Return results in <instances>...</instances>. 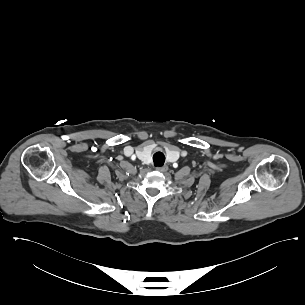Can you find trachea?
<instances>
[{
  "label": "trachea",
  "instance_id": "3493384b",
  "mask_svg": "<svg viewBox=\"0 0 305 305\" xmlns=\"http://www.w3.org/2000/svg\"><path fill=\"white\" fill-rule=\"evenodd\" d=\"M165 159L166 158L162 152L158 151V152L154 153V155H153L154 166L155 167L163 166Z\"/></svg>",
  "mask_w": 305,
  "mask_h": 305
}]
</instances>
